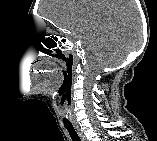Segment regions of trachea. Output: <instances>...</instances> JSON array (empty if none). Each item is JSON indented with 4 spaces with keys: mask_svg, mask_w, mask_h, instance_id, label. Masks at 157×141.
Here are the masks:
<instances>
[{
    "mask_svg": "<svg viewBox=\"0 0 157 141\" xmlns=\"http://www.w3.org/2000/svg\"><path fill=\"white\" fill-rule=\"evenodd\" d=\"M65 128L69 132V135L73 141H81L73 126H65Z\"/></svg>",
    "mask_w": 157,
    "mask_h": 141,
    "instance_id": "1",
    "label": "trachea"
}]
</instances>
